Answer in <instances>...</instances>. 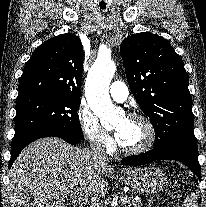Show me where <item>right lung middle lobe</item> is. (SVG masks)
<instances>
[{
    "instance_id": "right-lung-middle-lobe-1",
    "label": "right lung middle lobe",
    "mask_w": 206,
    "mask_h": 207,
    "mask_svg": "<svg viewBox=\"0 0 206 207\" xmlns=\"http://www.w3.org/2000/svg\"><path fill=\"white\" fill-rule=\"evenodd\" d=\"M80 98L55 95H35L16 100L15 135L12 145L33 134L58 131L83 139L78 109Z\"/></svg>"
}]
</instances>
